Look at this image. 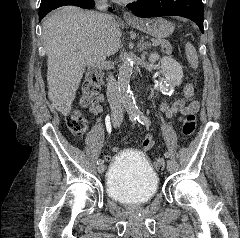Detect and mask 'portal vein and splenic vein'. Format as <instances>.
<instances>
[{"instance_id": "1", "label": "portal vein and splenic vein", "mask_w": 240, "mask_h": 238, "mask_svg": "<svg viewBox=\"0 0 240 238\" xmlns=\"http://www.w3.org/2000/svg\"><path fill=\"white\" fill-rule=\"evenodd\" d=\"M158 45V43L157 42H153V46H157ZM91 65V64H90Z\"/></svg>"}]
</instances>
